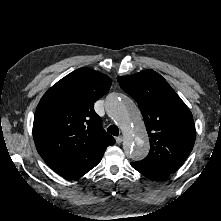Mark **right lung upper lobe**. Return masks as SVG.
Listing matches in <instances>:
<instances>
[{
    "mask_svg": "<svg viewBox=\"0 0 221 221\" xmlns=\"http://www.w3.org/2000/svg\"><path fill=\"white\" fill-rule=\"evenodd\" d=\"M111 83L108 76L82 67L44 94L36 109L33 137L37 151L48 165L88 149L115 143L102 128V120L93 108Z\"/></svg>",
    "mask_w": 221,
    "mask_h": 221,
    "instance_id": "right-lung-upper-lobe-1",
    "label": "right lung upper lobe"
}]
</instances>
